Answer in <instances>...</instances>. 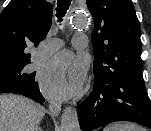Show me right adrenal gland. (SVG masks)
Listing matches in <instances>:
<instances>
[{
    "mask_svg": "<svg viewBox=\"0 0 151 131\" xmlns=\"http://www.w3.org/2000/svg\"><path fill=\"white\" fill-rule=\"evenodd\" d=\"M39 131H43L41 128L38 129Z\"/></svg>",
    "mask_w": 151,
    "mask_h": 131,
    "instance_id": "right-adrenal-gland-1",
    "label": "right adrenal gland"
}]
</instances>
